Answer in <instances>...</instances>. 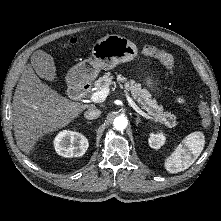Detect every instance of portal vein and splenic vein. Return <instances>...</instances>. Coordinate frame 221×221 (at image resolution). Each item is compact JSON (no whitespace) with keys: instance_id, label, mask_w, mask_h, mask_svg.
Returning <instances> with one entry per match:
<instances>
[{"instance_id":"18ae733b","label":"portal vein and splenic vein","mask_w":221,"mask_h":221,"mask_svg":"<svg viewBox=\"0 0 221 221\" xmlns=\"http://www.w3.org/2000/svg\"><path fill=\"white\" fill-rule=\"evenodd\" d=\"M109 91H110V88L109 86H105L103 89L97 91V92H94L90 99L95 102V103H101L103 102L108 94H109ZM123 93L125 95V97L127 98L129 104L131 105V107L138 113L140 114L141 116H143L144 118L146 119H149V120H152V121H156V119L150 117L147 113H145L144 111H142L136 104L135 102L132 100V98L130 97L129 93L126 91V90H123Z\"/></svg>"}]
</instances>
